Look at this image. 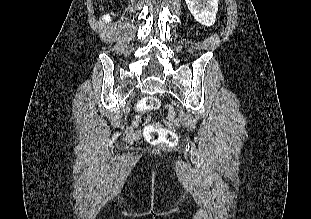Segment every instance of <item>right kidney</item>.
<instances>
[{"instance_id":"1","label":"right kidney","mask_w":311,"mask_h":219,"mask_svg":"<svg viewBox=\"0 0 311 219\" xmlns=\"http://www.w3.org/2000/svg\"><path fill=\"white\" fill-rule=\"evenodd\" d=\"M103 20H104V22H106V23L110 22V21H111L110 15H105V16L103 17Z\"/></svg>"}]
</instances>
